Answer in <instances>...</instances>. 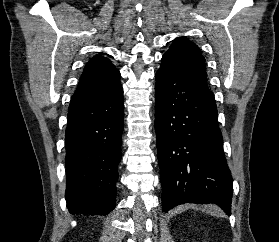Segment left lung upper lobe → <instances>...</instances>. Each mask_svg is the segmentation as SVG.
Segmentation results:
<instances>
[{
    "instance_id": "5c2ea615",
    "label": "left lung upper lobe",
    "mask_w": 279,
    "mask_h": 242,
    "mask_svg": "<svg viewBox=\"0 0 279 242\" xmlns=\"http://www.w3.org/2000/svg\"><path fill=\"white\" fill-rule=\"evenodd\" d=\"M165 55H170L178 62L190 69L204 81L207 79L205 59L199 48L193 42L184 38L174 40Z\"/></svg>"
}]
</instances>
